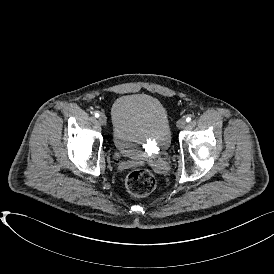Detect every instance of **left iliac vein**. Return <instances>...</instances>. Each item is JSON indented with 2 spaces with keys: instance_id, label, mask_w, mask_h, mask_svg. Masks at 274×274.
I'll list each match as a JSON object with an SVG mask.
<instances>
[{
  "instance_id": "4c4485c4",
  "label": "left iliac vein",
  "mask_w": 274,
  "mask_h": 274,
  "mask_svg": "<svg viewBox=\"0 0 274 274\" xmlns=\"http://www.w3.org/2000/svg\"><path fill=\"white\" fill-rule=\"evenodd\" d=\"M186 126V120L185 119H179L178 121H177V127L179 128V129H182V128H184Z\"/></svg>"
}]
</instances>
